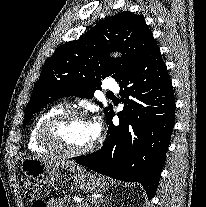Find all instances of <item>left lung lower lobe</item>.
<instances>
[{"label":"left lung lower lobe","mask_w":206,"mask_h":207,"mask_svg":"<svg viewBox=\"0 0 206 207\" xmlns=\"http://www.w3.org/2000/svg\"><path fill=\"white\" fill-rule=\"evenodd\" d=\"M119 125L107 121V139L96 152L76 162L100 174L139 182L148 199L156 193L175 123V98L158 45L121 82Z\"/></svg>","instance_id":"1"}]
</instances>
